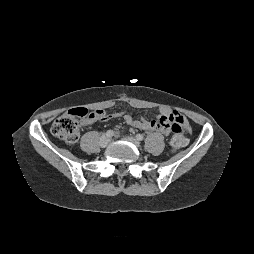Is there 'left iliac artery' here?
<instances>
[{"label":"left iliac artery","mask_w":254,"mask_h":254,"mask_svg":"<svg viewBox=\"0 0 254 254\" xmlns=\"http://www.w3.org/2000/svg\"><path fill=\"white\" fill-rule=\"evenodd\" d=\"M136 138H137V140L142 141L143 140V135L137 134Z\"/></svg>","instance_id":"1"}]
</instances>
